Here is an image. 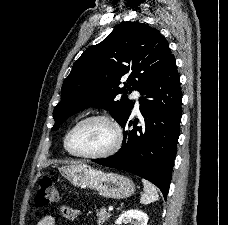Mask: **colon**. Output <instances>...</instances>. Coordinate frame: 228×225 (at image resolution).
Instances as JSON below:
<instances>
[{
  "instance_id": "colon-1",
  "label": "colon",
  "mask_w": 228,
  "mask_h": 225,
  "mask_svg": "<svg viewBox=\"0 0 228 225\" xmlns=\"http://www.w3.org/2000/svg\"><path fill=\"white\" fill-rule=\"evenodd\" d=\"M58 189L56 183L49 176H43L40 179V187L35 195V203L39 207L47 206L51 201L57 198Z\"/></svg>"
}]
</instances>
